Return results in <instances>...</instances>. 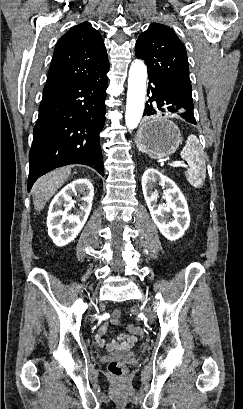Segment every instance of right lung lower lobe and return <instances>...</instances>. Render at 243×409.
<instances>
[{
    "instance_id": "right-lung-lower-lobe-1",
    "label": "right lung lower lobe",
    "mask_w": 243,
    "mask_h": 409,
    "mask_svg": "<svg viewBox=\"0 0 243 409\" xmlns=\"http://www.w3.org/2000/svg\"><path fill=\"white\" fill-rule=\"evenodd\" d=\"M108 71L85 81L45 85L29 152L28 191L43 174L69 164L91 166L104 176L99 133Z\"/></svg>"
}]
</instances>
